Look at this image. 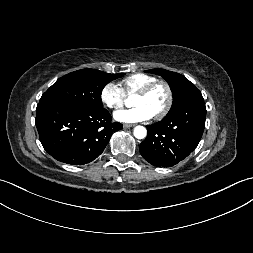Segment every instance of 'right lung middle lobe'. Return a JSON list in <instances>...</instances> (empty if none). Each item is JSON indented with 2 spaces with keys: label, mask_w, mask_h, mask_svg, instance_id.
Masks as SVG:
<instances>
[{
  "label": "right lung middle lobe",
  "mask_w": 253,
  "mask_h": 253,
  "mask_svg": "<svg viewBox=\"0 0 253 253\" xmlns=\"http://www.w3.org/2000/svg\"><path fill=\"white\" fill-rule=\"evenodd\" d=\"M95 69H82L59 78L41 97L40 102L63 103L91 110L103 109L101 92L110 81L122 77Z\"/></svg>",
  "instance_id": "right-lung-middle-lobe-1"
}]
</instances>
